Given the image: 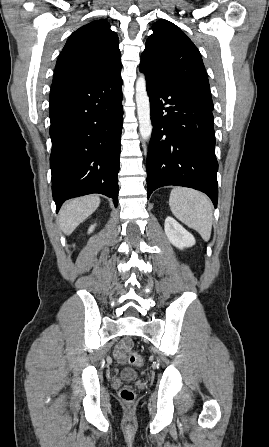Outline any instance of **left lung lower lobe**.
Returning <instances> with one entry per match:
<instances>
[{
  "instance_id": "obj_1",
  "label": "left lung lower lobe",
  "mask_w": 269,
  "mask_h": 447,
  "mask_svg": "<svg viewBox=\"0 0 269 447\" xmlns=\"http://www.w3.org/2000/svg\"><path fill=\"white\" fill-rule=\"evenodd\" d=\"M146 75L153 131L146 161L147 194L166 185L206 193L217 206L213 104L200 93L155 75Z\"/></svg>"
}]
</instances>
